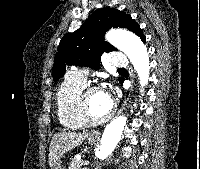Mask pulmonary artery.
Returning <instances> with one entry per match:
<instances>
[{"mask_svg": "<svg viewBox=\"0 0 200 169\" xmlns=\"http://www.w3.org/2000/svg\"><path fill=\"white\" fill-rule=\"evenodd\" d=\"M109 62L116 67L125 66L127 64L125 56L120 51H114L109 57ZM87 73V69H82L80 71L70 72L69 77L82 84H86Z\"/></svg>", "mask_w": 200, "mask_h": 169, "instance_id": "pulmonary-artery-1", "label": "pulmonary artery"}]
</instances>
